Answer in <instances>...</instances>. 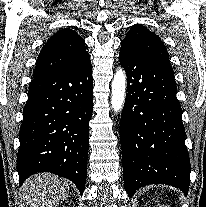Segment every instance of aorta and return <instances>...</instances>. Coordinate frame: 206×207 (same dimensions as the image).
<instances>
[{
	"mask_svg": "<svg viewBox=\"0 0 206 207\" xmlns=\"http://www.w3.org/2000/svg\"><path fill=\"white\" fill-rule=\"evenodd\" d=\"M126 96V74L118 69L111 84V106L115 113L122 110Z\"/></svg>",
	"mask_w": 206,
	"mask_h": 207,
	"instance_id": "762f6f07",
	"label": "aorta"
}]
</instances>
